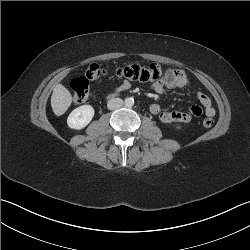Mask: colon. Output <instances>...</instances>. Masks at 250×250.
I'll list each match as a JSON object with an SVG mask.
<instances>
[{
	"mask_svg": "<svg viewBox=\"0 0 250 250\" xmlns=\"http://www.w3.org/2000/svg\"><path fill=\"white\" fill-rule=\"evenodd\" d=\"M107 74L108 70L99 65H90L84 76L75 78L72 81L71 87L74 102L83 103L89 100L93 95L89 82L99 80ZM114 74L120 78L138 82H158L164 78L163 70L159 64H151L149 66L137 64L120 66L114 70ZM213 124L214 120L211 117H207L203 120V126L205 128H210Z\"/></svg>",
	"mask_w": 250,
	"mask_h": 250,
	"instance_id": "obj_1",
	"label": "colon"
}]
</instances>
